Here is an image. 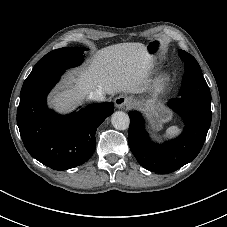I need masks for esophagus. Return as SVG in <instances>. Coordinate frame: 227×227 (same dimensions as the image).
Segmentation results:
<instances>
[{
  "instance_id": "obj_1",
  "label": "esophagus",
  "mask_w": 227,
  "mask_h": 227,
  "mask_svg": "<svg viewBox=\"0 0 227 227\" xmlns=\"http://www.w3.org/2000/svg\"><path fill=\"white\" fill-rule=\"evenodd\" d=\"M115 105L119 109H127L130 105V99L125 96H118L115 99Z\"/></svg>"
}]
</instances>
